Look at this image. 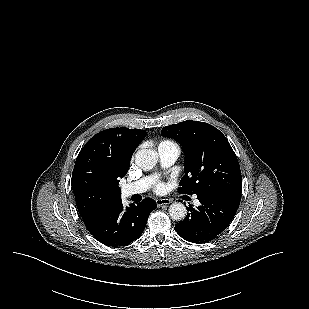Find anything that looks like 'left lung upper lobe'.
<instances>
[{"instance_id":"1","label":"left lung upper lobe","mask_w":309,"mask_h":309,"mask_svg":"<svg viewBox=\"0 0 309 309\" xmlns=\"http://www.w3.org/2000/svg\"><path fill=\"white\" fill-rule=\"evenodd\" d=\"M161 134L177 140L184 150L185 175L178 192L241 195L242 177L237 157L217 128L186 120L163 127Z\"/></svg>"}]
</instances>
